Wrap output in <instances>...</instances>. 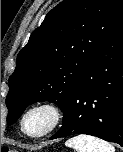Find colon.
<instances>
[{"label": "colon", "instance_id": "colon-1", "mask_svg": "<svg viewBox=\"0 0 123 152\" xmlns=\"http://www.w3.org/2000/svg\"><path fill=\"white\" fill-rule=\"evenodd\" d=\"M1 152H18V151H15V150L7 148V147H4V148L1 149Z\"/></svg>", "mask_w": 123, "mask_h": 152}]
</instances>
